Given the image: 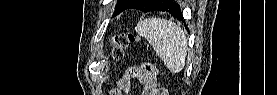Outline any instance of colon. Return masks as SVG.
<instances>
[{"mask_svg": "<svg viewBox=\"0 0 277 95\" xmlns=\"http://www.w3.org/2000/svg\"><path fill=\"white\" fill-rule=\"evenodd\" d=\"M112 56L116 59L122 57L123 50L135 41V37L131 34L119 33L112 35Z\"/></svg>", "mask_w": 277, "mask_h": 95, "instance_id": "colon-1", "label": "colon"}]
</instances>
